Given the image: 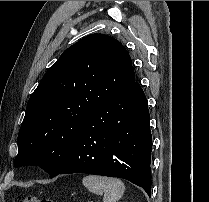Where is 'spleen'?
<instances>
[{
  "mask_svg": "<svg viewBox=\"0 0 209 202\" xmlns=\"http://www.w3.org/2000/svg\"><path fill=\"white\" fill-rule=\"evenodd\" d=\"M83 185L94 194H103V202H117L124 194V183L117 178L87 175Z\"/></svg>",
  "mask_w": 209,
  "mask_h": 202,
  "instance_id": "obj_1",
  "label": "spleen"
}]
</instances>
